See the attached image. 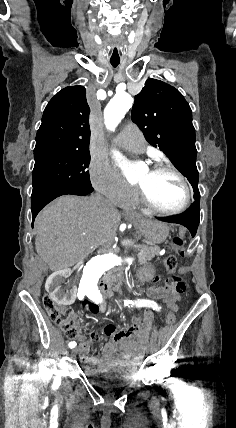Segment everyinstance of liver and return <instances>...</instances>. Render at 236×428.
<instances>
[{"mask_svg": "<svg viewBox=\"0 0 236 428\" xmlns=\"http://www.w3.org/2000/svg\"><path fill=\"white\" fill-rule=\"evenodd\" d=\"M120 222L100 196H61L36 218V252L50 270L70 268L99 246L111 250Z\"/></svg>", "mask_w": 236, "mask_h": 428, "instance_id": "obj_1", "label": "liver"}]
</instances>
